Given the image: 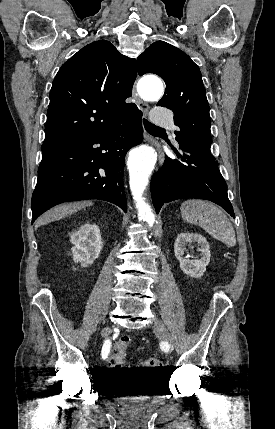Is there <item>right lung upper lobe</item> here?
<instances>
[{
  "instance_id": "1",
  "label": "right lung upper lobe",
  "mask_w": 275,
  "mask_h": 429,
  "mask_svg": "<svg viewBox=\"0 0 275 429\" xmlns=\"http://www.w3.org/2000/svg\"><path fill=\"white\" fill-rule=\"evenodd\" d=\"M136 75V60L109 41L92 42L75 53L52 83L42 152L136 114V105L125 102Z\"/></svg>"
}]
</instances>
